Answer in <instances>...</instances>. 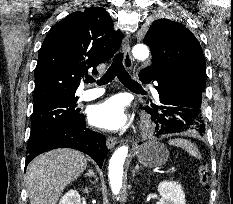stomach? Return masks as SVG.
<instances>
[{"instance_id":"obj_1","label":"stomach","mask_w":233,"mask_h":204,"mask_svg":"<svg viewBox=\"0 0 233 204\" xmlns=\"http://www.w3.org/2000/svg\"><path fill=\"white\" fill-rule=\"evenodd\" d=\"M136 156L141 165L148 168H156L167 162L169 152L162 143L152 141L140 146Z\"/></svg>"}]
</instances>
